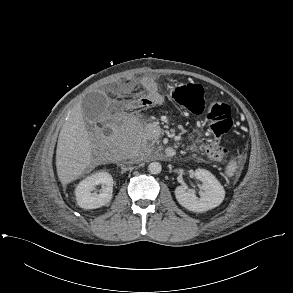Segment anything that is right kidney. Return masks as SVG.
I'll return each instance as SVG.
<instances>
[{
    "label": "right kidney",
    "mask_w": 293,
    "mask_h": 293,
    "mask_svg": "<svg viewBox=\"0 0 293 293\" xmlns=\"http://www.w3.org/2000/svg\"><path fill=\"white\" fill-rule=\"evenodd\" d=\"M102 185L99 194L91 193L95 186ZM113 178L104 171L97 172L82 180L75 190L77 204L83 209H96L108 204L113 195Z\"/></svg>",
    "instance_id": "ca27d5eb"
}]
</instances>
